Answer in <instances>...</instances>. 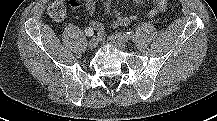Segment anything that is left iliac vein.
Returning a JSON list of instances; mask_svg holds the SVG:
<instances>
[{
  "instance_id": "obj_1",
  "label": "left iliac vein",
  "mask_w": 217,
  "mask_h": 121,
  "mask_svg": "<svg viewBox=\"0 0 217 121\" xmlns=\"http://www.w3.org/2000/svg\"><path fill=\"white\" fill-rule=\"evenodd\" d=\"M108 41L120 49H125L127 47L126 41L118 35H110Z\"/></svg>"
}]
</instances>
